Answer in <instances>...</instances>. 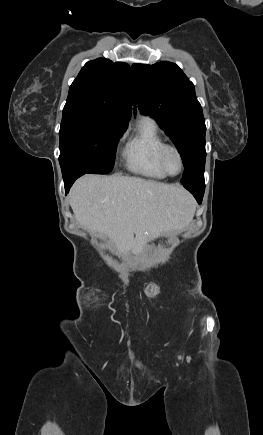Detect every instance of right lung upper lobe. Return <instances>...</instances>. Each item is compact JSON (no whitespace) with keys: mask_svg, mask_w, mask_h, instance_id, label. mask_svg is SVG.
Wrapping results in <instances>:
<instances>
[{"mask_svg":"<svg viewBox=\"0 0 263 435\" xmlns=\"http://www.w3.org/2000/svg\"><path fill=\"white\" fill-rule=\"evenodd\" d=\"M135 104L129 65L98 58L87 62L71 84L63 111H89L114 124L127 127L131 105Z\"/></svg>","mask_w":263,"mask_h":435,"instance_id":"right-lung-upper-lobe-1","label":"right lung upper lobe"}]
</instances>
